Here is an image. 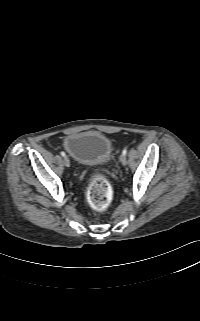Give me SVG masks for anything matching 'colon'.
<instances>
[{"mask_svg": "<svg viewBox=\"0 0 200 321\" xmlns=\"http://www.w3.org/2000/svg\"><path fill=\"white\" fill-rule=\"evenodd\" d=\"M113 192L110 184L101 176H94L88 187V201L97 211L107 209L112 201Z\"/></svg>", "mask_w": 200, "mask_h": 321, "instance_id": "colon-1", "label": "colon"}]
</instances>
